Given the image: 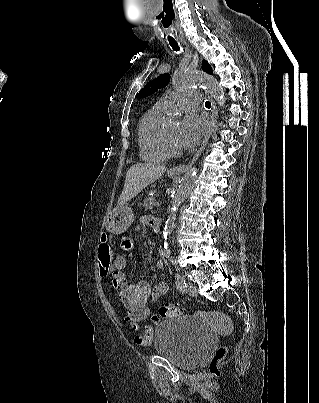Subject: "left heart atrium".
<instances>
[{"label":"left heart atrium","mask_w":319,"mask_h":403,"mask_svg":"<svg viewBox=\"0 0 319 403\" xmlns=\"http://www.w3.org/2000/svg\"><path fill=\"white\" fill-rule=\"evenodd\" d=\"M206 123L198 114L191 112L187 114L179 128L178 145L184 149L194 148L204 132Z\"/></svg>","instance_id":"1"}]
</instances>
